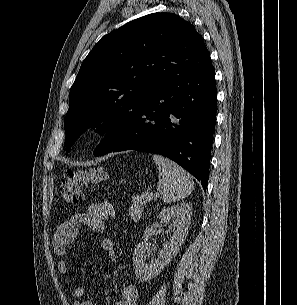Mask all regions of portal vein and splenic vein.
Here are the masks:
<instances>
[{"label": "portal vein and splenic vein", "instance_id": "obj_1", "mask_svg": "<svg viewBox=\"0 0 297 305\" xmlns=\"http://www.w3.org/2000/svg\"><path fill=\"white\" fill-rule=\"evenodd\" d=\"M143 196L146 198L147 201H151L157 198L159 195L153 192H145Z\"/></svg>", "mask_w": 297, "mask_h": 305}]
</instances>
